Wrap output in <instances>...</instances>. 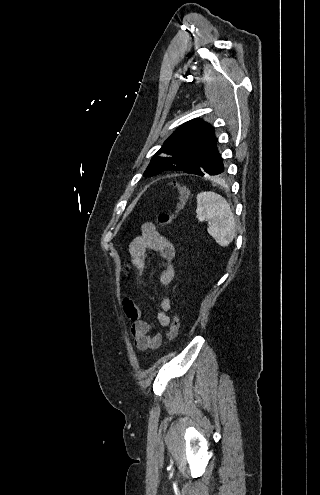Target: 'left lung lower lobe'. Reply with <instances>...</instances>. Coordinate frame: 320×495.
Returning <instances> with one entry per match:
<instances>
[{
  "label": "left lung lower lobe",
  "instance_id": "obj_1",
  "mask_svg": "<svg viewBox=\"0 0 320 495\" xmlns=\"http://www.w3.org/2000/svg\"><path fill=\"white\" fill-rule=\"evenodd\" d=\"M184 172L202 177L207 175L222 176L225 174L226 168L223 165L221 155L216 146L210 153L206 154L199 163Z\"/></svg>",
  "mask_w": 320,
  "mask_h": 495
}]
</instances>
